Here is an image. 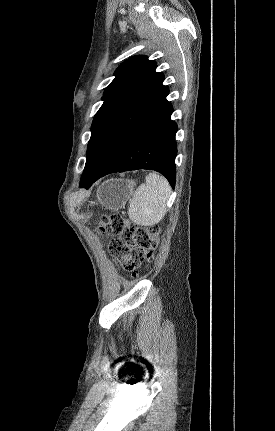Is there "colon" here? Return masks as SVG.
Masks as SVG:
<instances>
[{
  "label": "colon",
  "instance_id": "obj_1",
  "mask_svg": "<svg viewBox=\"0 0 275 431\" xmlns=\"http://www.w3.org/2000/svg\"><path fill=\"white\" fill-rule=\"evenodd\" d=\"M99 232L116 235L108 244L109 252L136 276L139 267L153 259L160 229L137 226L120 215H111L102 217Z\"/></svg>",
  "mask_w": 275,
  "mask_h": 431
}]
</instances>
